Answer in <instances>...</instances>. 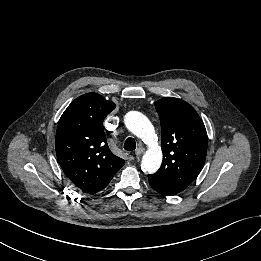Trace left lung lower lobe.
<instances>
[{
  "mask_svg": "<svg viewBox=\"0 0 261 261\" xmlns=\"http://www.w3.org/2000/svg\"><path fill=\"white\" fill-rule=\"evenodd\" d=\"M155 191L159 192L154 186H151ZM160 194H162L161 192H159ZM164 195V194H163Z\"/></svg>",
  "mask_w": 261,
  "mask_h": 261,
  "instance_id": "left-lung-lower-lobe-1",
  "label": "left lung lower lobe"
}]
</instances>
